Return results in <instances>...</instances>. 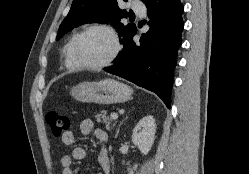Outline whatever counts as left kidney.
I'll list each match as a JSON object with an SVG mask.
<instances>
[{"label": "left kidney", "mask_w": 249, "mask_h": 174, "mask_svg": "<svg viewBox=\"0 0 249 174\" xmlns=\"http://www.w3.org/2000/svg\"><path fill=\"white\" fill-rule=\"evenodd\" d=\"M156 133L155 119L152 115H147L142 118L139 123L134 127L132 134V142L139 148L143 155H147L150 151ZM137 169V165H134L131 169H128L129 174H133Z\"/></svg>", "instance_id": "5707ae66"}]
</instances>
